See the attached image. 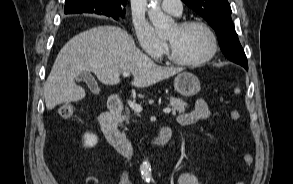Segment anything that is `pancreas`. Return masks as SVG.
<instances>
[{"instance_id": "cf45deb5", "label": "pancreas", "mask_w": 293, "mask_h": 184, "mask_svg": "<svg viewBox=\"0 0 293 184\" xmlns=\"http://www.w3.org/2000/svg\"><path fill=\"white\" fill-rule=\"evenodd\" d=\"M170 105L174 113L176 111H178L179 113H184L185 108L187 107V103H185L182 99L174 98V97H170ZM125 119H128V116H123L120 119V123H122Z\"/></svg>"}]
</instances>
